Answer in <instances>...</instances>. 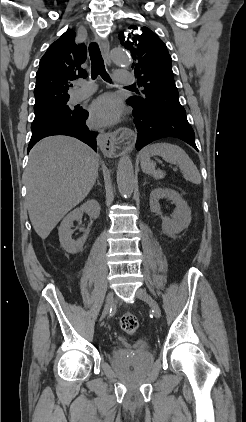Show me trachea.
<instances>
[{"instance_id":"obj_1","label":"trachea","mask_w":246,"mask_h":422,"mask_svg":"<svg viewBox=\"0 0 246 422\" xmlns=\"http://www.w3.org/2000/svg\"><path fill=\"white\" fill-rule=\"evenodd\" d=\"M89 55L91 59V77L96 79L100 75L106 82L111 83V79L106 72L104 61L97 43L92 42L89 45Z\"/></svg>"}]
</instances>
